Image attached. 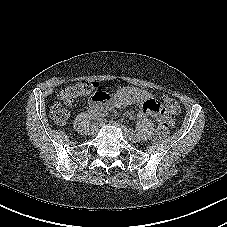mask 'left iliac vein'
I'll list each match as a JSON object with an SVG mask.
<instances>
[{
    "instance_id": "4c4485c4",
    "label": "left iliac vein",
    "mask_w": 227,
    "mask_h": 227,
    "mask_svg": "<svg viewBox=\"0 0 227 227\" xmlns=\"http://www.w3.org/2000/svg\"><path fill=\"white\" fill-rule=\"evenodd\" d=\"M120 128L122 129L125 138H127L133 142L138 141V140H136V137H133V133L130 132L125 126L121 125Z\"/></svg>"
}]
</instances>
